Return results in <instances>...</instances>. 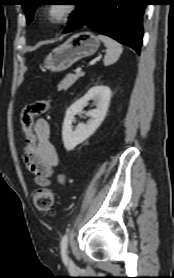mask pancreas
<instances>
[{
	"instance_id": "cf45deb5",
	"label": "pancreas",
	"mask_w": 174,
	"mask_h": 278,
	"mask_svg": "<svg viewBox=\"0 0 174 278\" xmlns=\"http://www.w3.org/2000/svg\"><path fill=\"white\" fill-rule=\"evenodd\" d=\"M83 75V73L68 74L58 85V90H67L75 83L77 79H79Z\"/></svg>"
}]
</instances>
